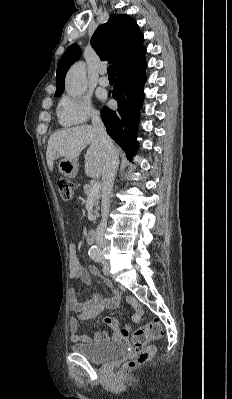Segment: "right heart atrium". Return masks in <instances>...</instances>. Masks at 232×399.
Listing matches in <instances>:
<instances>
[{
	"label": "right heart atrium",
	"mask_w": 232,
	"mask_h": 399,
	"mask_svg": "<svg viewBox=\"0 0 232 399\" xmlns=\"http://www.w3.org/2000/svg\"><path fill=\"white\" fill-rule=\"evenodd\" d=\"M56 115L60 125L68 128V125H84L94 117V112L91 106L81 103L80 96H67L58 105Z\"/></svg>",
	"instance_id": "1"
}]
</instances>
